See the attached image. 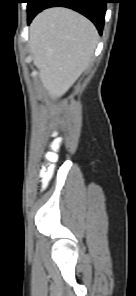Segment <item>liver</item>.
Returning <instances> with one entry per match:
<instances>
[{
	"instance_id": "obj_1",
	"label": "liver",
	"mask_w": 136,
	"mask_h": 296,
	"mask_svg": "<svg viewBox=\"0 0 136 296\" xmlns=\"http://www.w3.org/2000/svg\"><path fill=\"white\" fill-rule=\"evenodd\" d=\"M29 35L44 89L52 97L64 95L93 57L98 41L95 26L73 10L54 7L34 18Z\"/></svg>"
}]
</instances>
